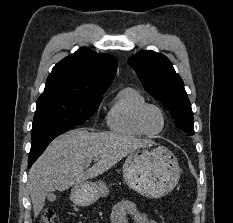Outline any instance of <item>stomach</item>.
I'll return each mask as SVG.
<instances>
[{"label": "stomach", "instance_id": "0dacf381", "mask_svg": "<svg viewBox=\"0 0 233 223\" xmlns=\"http://www.w3.org/2000/svg\"><path fill=\"white\" fill-rule=\"evenodd\" d=\"M181 169L170 149L154 141H144L142 147L128 153L123 163V179L144 197H162L179 181ZM109 187L103 179L83 181L71 189L75 205H92L99 197H107Z\"/></svg>", "mask_w": 233, "mask_h": 223}]
</instances>
